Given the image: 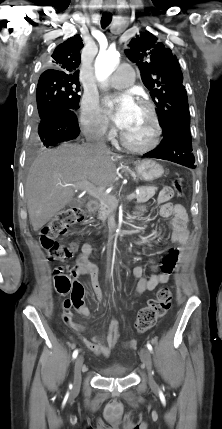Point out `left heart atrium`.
Masks as SVG:
<instances>
[{
    "mask_svg": "<svg viewBox=\"0 0 222 429\" xmlns=\"http://www.w3.org/2000/svg\"><path fill=\"white\" fill-rule=\"evenodd\" d=\"M106 104L111 106L115 104V101L113 99H107ZM136 105L130 94H123L118 98L116 110L111 114V118L119 129L123 130L128 125Z\"/></svg>",
    "mask_w": 222,
    "mask_h": 429,
    "instance_id": "left-heart-atrium-1",
    "label": "left heart atrium"
}]
</instances>
